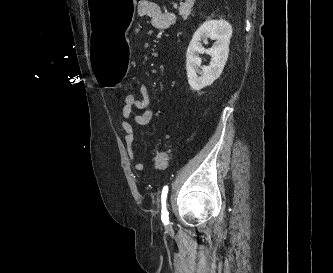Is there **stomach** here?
Instances as JSON below:
<instances>
[{"mask_svg": "<svg viewBox=\"0 0 333 273\" xmlns=\"http://www.w3.org/2000/svg\"><path fill=\"white\" fill-rule=\"evenodd\" d=\"M91 31L87 50L92 58L93 75L105 88L125 81L131 49L125 32L135 19V0H87Z\"/></svg>", "mask_w": 333, "mask_h": 273, "instance_id": "obj_1", "label": "stomach"}]
</instances>
